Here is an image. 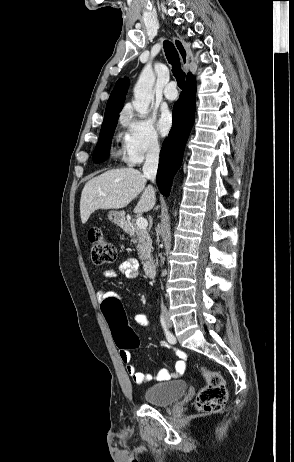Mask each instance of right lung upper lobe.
<instances>
[{"instance_id":"right-lung-upper-lobe-1","label":"right lung upper lobe","mask_w":294,"mask_h":462,"mask_svg":"<svg viewBox=\"0 0 294 462\" xmlns=\"http://www.w3.org/2000/svg\"><path fill=\"white\" fill-rule=\"evenodd\" d=\"M191 76H192L191 73L187 75L188 78ZM127 89H128V80L126 78L119 79L108 99L104 118L112 116V115H116L120 112V110L123 107Z\"/></svg>"}]
</instances>
